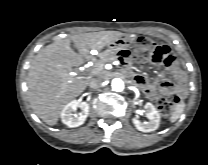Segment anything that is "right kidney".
Instances as JSON below:
<instances>
[{
    "label": "right kidney",
    "instance_id": "right-kidney-1",
    "mask_svg": "<svg viewBox=\"0 0 208 165\" xmlns=\"http://www.w3.org/2000/svg\"><path fill=\"white\" fill-rule=\"evenodd\" d=\"M77 108L81 109V112L78 115L74 113ZM88 114V103L73 100L62 109L61 120L68 127H78L85 122Z\"/></svg>",
    "mask_w": 208,
    "mask_h": 165
}]
</instances>
